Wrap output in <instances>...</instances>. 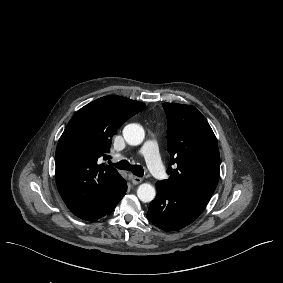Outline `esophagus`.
I'll list each match as a JSON object with an SVG mask.
<instances>
[{
	"instance_id": "1",
	"label": "esophagus",
	"mask_w": 283,
	"mask_h": 283,
	"mask_svg": "<svg viewBox=\"0 0 283 283\" xmlns=\"http://www.w3.org/2000/svg\"><path fill=\"white\" fill-rule=\"evenodd\" d=\"M131 182H132L133 184H135V185H138V184H140V183L142 182V178L137 177V176H133V177L131 178Z\"/></svg>"
}]
</instances>
